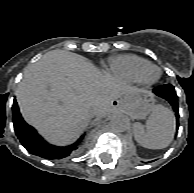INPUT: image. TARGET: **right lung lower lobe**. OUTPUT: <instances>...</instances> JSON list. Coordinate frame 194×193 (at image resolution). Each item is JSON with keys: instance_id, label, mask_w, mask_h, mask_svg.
Segmentation results:
<instances>
[{"instance_id": "1", "label": "right lung lower lobe", "mask_w": 194, "mask_h": 193, "mask_svg": "<svg viewBox=\"0 0 194 193\" xmlns=\"http://www.w3.org/2000/svg\"><path fill=\"white\" fill-rule=\"evenodd\" d=\"M12 109L15 133L30 153L47 159H62L74 153L78 148L81 139L68 147H56L48 144L37 134L33 127L26 124L15 100Z\"/></svg>"}]
</instances>
